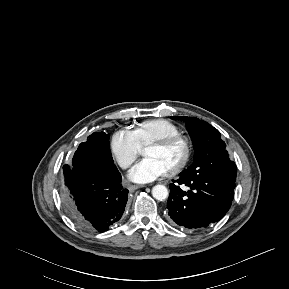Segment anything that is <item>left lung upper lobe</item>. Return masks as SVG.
<instances>
[{
  "label": "left lung upper lobe",
  "mask_w": 289,
  "mask_h": 289,
  "mask_svg": "<svg viewBox=\"0 0 289 289\" xmlns=\"http://www.w3.org/2000/svg\"><path fill=\"white\" fill-rule=\"evenodd\" d=\"M186 122L187 130L194 146V162L180 174L192 177L196 175L219 174L235 182L237 167L229 159L226 144L220 132L203 120L195 117H171Z\"/></svg>",
  "instance_id": "1"
}]
</instances>
